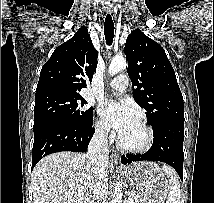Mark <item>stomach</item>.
Returning <instances> with one entry per match:
<instances>
[{"label": "stomach", "mask_w": 214, "mask_h": 203, "mask_svg": "<svg viewBox=\"0 0 214 203\" xmlns=\"http://www.w3.org/2000/svg\"><path fill=\"white\" fill-rule=\"evenodd\" d=\"M124 176L136 194L137 203H164L168 198L169 179L155 163H135L124 170Z\"/></svg>", "instance_id": "1"}]
</instances>
